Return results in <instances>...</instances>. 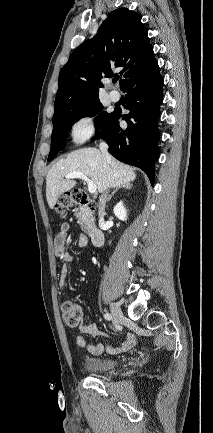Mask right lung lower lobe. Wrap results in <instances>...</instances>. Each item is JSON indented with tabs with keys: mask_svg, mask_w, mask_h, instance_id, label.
<instances>
[{
	"mask_svg": "<svg viewBox=\"0 0 213 433\" xmlns=\"http://www.w3.org/2000/svg\"><path fill=\"white\" fill-rule=\"evenodd\" d=\"M162 87L159 66L153 58L122 87L127 93L126 109L130 113L121 117V111L115 110L103 132L92 139H106L109 152L118 160L142 169L151 184L154 183V164L159 157L157 122L163 101ZM120 117L127 122L126 129L120 127Z\"/></svg>",
	"mask_w": 213,
	"mask_h": 433,
	"instance_id": "obj_1",
	"label": "right lung lower lobe"
}]
</instances>
